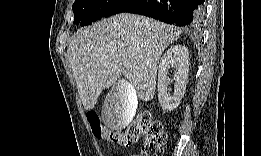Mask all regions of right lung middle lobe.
Instances as JSON below:
<instances>
[{
	"mask_svg": "<svg viewBox=\"0 0 261 156\" xmlns=\"http://www.w3.org/2000/svg\"><path fill=\"white\" fill-rule=\"evenodd\" d=\"M122 0H75L73 4L74 23L81 26L95 22L114 10Z\"/></svg>",
	"mask_w": 261,
	"mask_h": 156,
	"instance_id": "1",
	"label": "right lung middle lobe"
}]
</instances>
